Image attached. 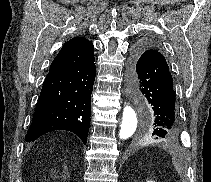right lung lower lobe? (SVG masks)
Segmentation results:
<instances>
[{"label":"right lung lower lobe","mask_w":211,"mask_h":182,"mask_svg":"<svg viewBox=\"0 0 211 182\" xmlns=\"http://www.w3.org/2000/svg\"><path fill=\"white\" fill-rule=\"evenodd\" d=\"M93 49V44L82 37L63 45L45 78L27 142L53 130H68L86 144L96 74Z\"/></svg>","instance_id":"98d812e1"}]
</instances>
